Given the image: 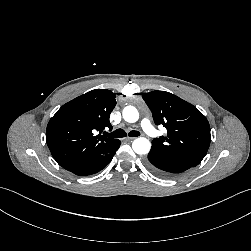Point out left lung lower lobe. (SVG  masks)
Returning a JSON list of instances; mask_svg holds the SVG:
<instances>
[{"label": "left lung lower lobe", "mask_w": 251, "mask_h": 251, "mask_svg": "<svg viewBox=\"0 0 251 251\" xmlns=\"http://www.w3.org/2000/svg\"><path fill=\"white\" fill-rule=\"evenodd\" d=\"M145 164L150 171L163 178L174 177L195 167L182 159L155 150L149 152Z\"/></svg>", "instance_id": "1"}]
</instances>
